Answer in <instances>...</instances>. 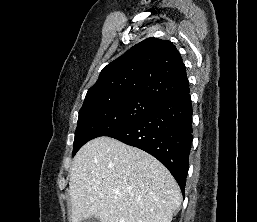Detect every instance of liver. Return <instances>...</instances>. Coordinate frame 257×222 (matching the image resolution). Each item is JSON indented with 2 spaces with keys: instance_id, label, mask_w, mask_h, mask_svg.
I'll list each match as a JSON object with an SVG mask.
<instances>
[{
  "instance_id": "1",
  "label": "liver",
  "mask_w": 257,
  "mask_h": 222,
  "mask_svg": "<svg viewBox=\"0 0 257 222\" xmlns=\"http://www.w3.org/2000/svg\"><path fill=\"white\" fill-rule=\"evenodd\" d=\"M72 222H171L180 188L155 157L110 137L86 143L69 181Z\"/></svg>"
}]
</instances>
